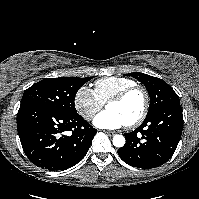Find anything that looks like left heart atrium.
<instances>
[{
  "label": "left heart atrium",
  "instance_id": "1",
  "mask_svg": "<svg viewBox=\"0 0 199 199\" xmlns=\"http://www.w3.org/2000/svg\"><path fill=\"white\" fill-rule=\"evenodd\" d=\"M93 123L96 127L101 129H118L126 125L122 117L111 110H106L98 114Z\"/></svg>",
  "mask_w": 199,
  "mask_h": 199
}]
</instances>
